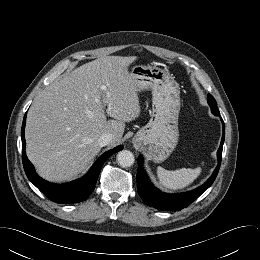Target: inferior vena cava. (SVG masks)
Here are the masks:
<instances>
[{"label": "inferior vena cava", "mask_w": 260, "mask_h": 260, "mask_svg": "<svg viewBox=\"0 0 260 260\" xmlns=\"http://www.w3.org/2000/svg\"><path fill=\"white\" fill-rule=\"evenodd\" d=\"M113 140V135L111 133H104L98 139V144L100 147H104Z\"/></svg>", "instance_id": "obj_1"}]
</instances>
